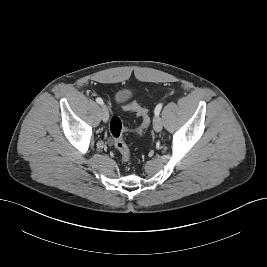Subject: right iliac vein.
<instances>
[{
    "label": "right iliac vein",
    "mask_w": 267,
    "mask_h": 267,
    "mask_svg": "<svg viewBox=\"0 0 267 267\" xmlns=\"http://www.w3.org/2000/svg\"><path fill=\"white\" fill-rule=\"evenodd\" d=\"M101 118L104 122H107L109 118L108 109L105 105L101 107Z\"/></svg>",
    "instance_id": "63e3f726"
}]
</instances>
